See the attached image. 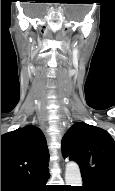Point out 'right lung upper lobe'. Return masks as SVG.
Returning <instances> with one entry per match:
<instances>
[{"instance_id": "obj_1", "label": "right lung upper lobe", "mask_w": 115, "mask_h": 191, "mask_svg": "<svg viewBox=\"0 0 115 191\" xmlns=\"http://www.w3.org/2000/svg\"><path fill=\"white\" fill-rule=\"evenodd\" d=\"M49 152L42 131L32 125L1 135V183L48 175Z\"/></svg>"}]
</instances>
